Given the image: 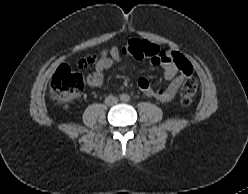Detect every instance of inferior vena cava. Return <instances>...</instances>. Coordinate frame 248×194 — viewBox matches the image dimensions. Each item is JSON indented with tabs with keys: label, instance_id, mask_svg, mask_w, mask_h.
<instances>
[{
	"label": "inferior vena cava",
	"instance_id": "1",
	"mask_svg": "<svg viewBox=\"0 0 248 194\" xmlns=\"http://www.w3.org/2000/svg\"><path fill=\"white\" fill-rule=\"evenodd\" d=\"M118 103V98H116L115 96H108L105 98V104L108 106H112Z\"/></svg>",
	"mask_w": 248,
	"mask_h": 194
}]
</instances>
